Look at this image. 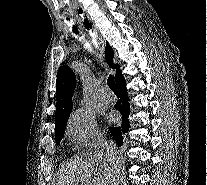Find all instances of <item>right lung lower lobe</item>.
<instances>
[{"mask_svg":"<svg viewBox=\"0 0 207 185\" xmlns=\"http://www.w3.org/2000/svg\"><path fill=\"white\" fill-rule=\"evenodd\" d=\"M116 86L118 89V93L120 95V99L115 104V109L121 112L122 115V124L117 127H109V131L111 135L115 138L116 143L118 146L123 144V136L122 134L126 133L129 128V121L127 119L130 109L129 103L127 98V89L124 77L118 79L116 81ZM117 95V96H119Z\"/></svg>","mask_w":207,"mask_h":185,"instance_id":"98d812e1","label":"right lung lower lobe"}]
</instances>
